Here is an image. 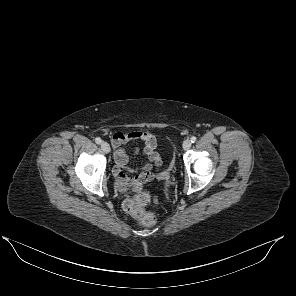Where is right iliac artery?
Instances as JSON below:
<instances>
[{
  "label": "right iliac artery",
  "instance_id": "obj_1",
  "mask_svg": "<svg viewBox=\"0 0 296 296\" xmlns=\"http://www.w3.org/2000/svg\"><path fill=\"white\" fill-rule=\"evenodd\" d=\"M95 142H96L97 144H101L102 140H101V138L97 137V138L95 139Z\"/></svg>",
  "mask_w": 296,
  "mask_h": 296
}]
</instances>
